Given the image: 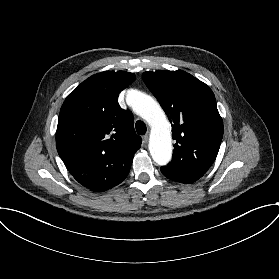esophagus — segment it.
Here are the masks:
<instances>
[{"label": "esophagus", "instance_id": "1", "mask_svg": "<svg viewBox=\"0 0 279 279\" xmlns=\"http://www.w3.org/2000/svg\"><path fill=\"white\" fill-rule=\"evenodd\" d=\"M142 140H143V143H144V144H147V142H148V135H144V136L142 137Z\"/></svg>", "mask_w": 279, "mask_h": 279}]
</instances>
